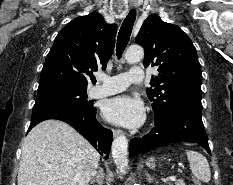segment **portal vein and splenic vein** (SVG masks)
<instances>
[{"instance_id":"1","label":"portal vein and splenic vein","mask_w":233,"mask_h":185,"mask_svg":"<svg viewBox=\"0 0 233 185\" xmlns=\"http://www.w3.org/2000/svg\"><path fill=\"white\" fill-rule=\"evenodd\" d=\"M168 179L171 180V181H175L176 180V176H170V177H168Z\"/></svg>"}]
</instances>
